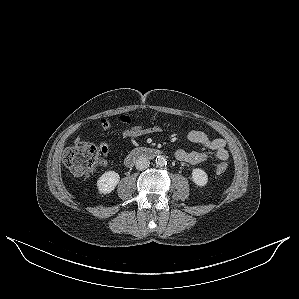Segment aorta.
<instances>
[{"mask_svg":"<svg viewBox=\"0 0 299 299\" xmlns=\"http://www.w3.org/2000/svg\"><path fill=\"white\" fill-rule=\"evenodd\" d=\"M155 161H156V165L158 167H163V166H165L167 164V160H166L165 156H163V155H158L156 157Z\"/></svg>","mask_w":299,"mask_h":299,"instance_id":"762f6f07","label":"aorta"}]
</instances>
